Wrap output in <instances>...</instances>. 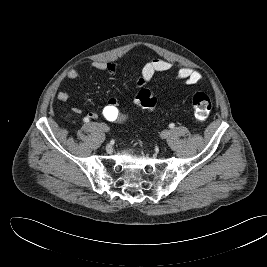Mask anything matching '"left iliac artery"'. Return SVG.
Masks as SVG:
<instances>
[{"instance_id": "44dca946", "label": "left iliac artery", "mask_w": 267, "mask_h": 267, "mask_svg": "<svg viewBox=\"0 0 267 267\" xmlns=\"http://www.w3.org/2000/svg\"><path fill=\"white\" fill-rule=\"evenodd\" d=\"M174 126H175V125H174L173 123L169 124V127H170V128H174Z\"/></svg>"}]
</instances>
